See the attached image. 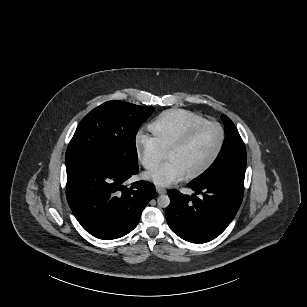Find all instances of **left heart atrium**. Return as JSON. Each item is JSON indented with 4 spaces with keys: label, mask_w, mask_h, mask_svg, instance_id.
Wrapping results in <instances>:
<instances>
[{
    "label": "left heart atrium",
    "mask_w": 307,
    "mask_h": 307,
    "mask_svg": "<svg viewBox=\"0 0 307 307\" xmlns=\"http://www.w3.org/2000/svg\"><path fill=\"white\" fill-rule=\"evenodd\" d=\"M183 170L172 161H166L156 169L143 174V178L154 182L159 186H167L185 177Z\"/></svg>",
    "instance_id": "obj_1"
}]
</instances>
